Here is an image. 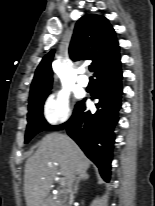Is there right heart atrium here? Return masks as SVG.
<instances>
[{
	"label": "right heart atrium",
	"instance_id": "right-heart-atrium-1",
	"mask_svg": "<svg viewBox=\"0 0 155 206\" xmlns=\"http://www.w3.org/2000/svg\"><path fill=\"white\" fill-rule=\"evenodd\" d=\"M43 116L51 125L66 121L70 116L68 95L63 91L51 94L44 103Z\"/></svg>",
	"mask_w": 155,
	"mask_h": 206
}]
</instances>
